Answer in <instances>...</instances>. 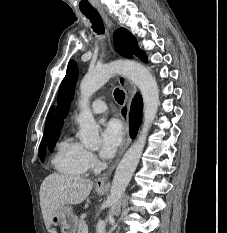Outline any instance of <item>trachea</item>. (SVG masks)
Instances as JSON below:
<instances>
[{"instance_id":"1","label":"trachea","mask_w":227,"mask_h":233,"mask_svg":"<svg viewBox=\"0 0 227 233\" xmlns=\"http://www.w3.org/2000/svg\"><path fill=\"white\" fill-rule=\"evenodd\" d=\"M83 14L90 20V22L92 23V28L97 34L104 33V25L97 11H87L83 12ZM124 97L125 95L122 90H119L118 88L115 89L114 98L119 104H123Z\"/></svg>"}]
</instances>
